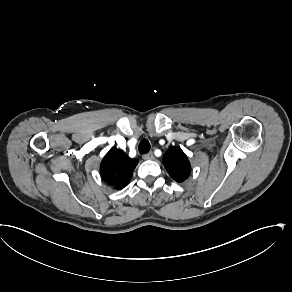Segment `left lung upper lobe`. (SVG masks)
Listing matches in <instances>:
<instances>
[{
    "label": "left lung upper lobe",
    "instance_id": "5c2ea615",
    "mask_svg": "<svg viewBox=\"0 0 292 292\" xmlns=\"http://www.w3.org/2000/svg\"><path fill=\"white\" fill-rule=\"evenodd\" d=\"M163 164L168 171L169 175L176 182L185 181L191 172V165L184 154V152L179 147H170L165 153L163 158Z\"/></svg>",
    "mask_w": 292,
    "mask_h": 292
}]
</instances>
